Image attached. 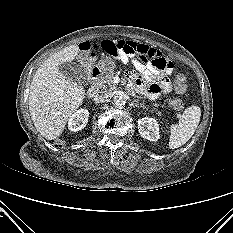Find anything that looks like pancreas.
<instances>
[{
	"label": "pancreas",
	"mask_w": 233,
	"mask_h": 233,
	"mask_svg": "<svg viewBox=\"0 0 233 233\" xmlns=\"http://www.w3.org/2000/svg\"><path fill=\"white\" fill-rule=\"evenodd\" d=\"M115 75H116L115 73L111 72L110 74H108L105 78H103L100 81V84H101L103 89H105L108 92H112L113 90H116L117 85L113 81ZM157 115L161 116V112L158 111Z\"/></svg>",
	"instance_id": "obj_1"
}]
</instances>
